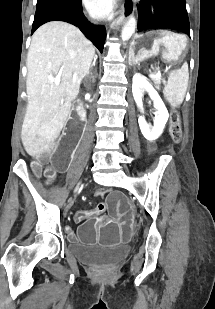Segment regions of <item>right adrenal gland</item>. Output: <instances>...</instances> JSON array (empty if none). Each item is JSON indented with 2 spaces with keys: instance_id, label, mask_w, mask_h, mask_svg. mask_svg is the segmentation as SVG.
I'll return each instance as SVG.
<instances>
[{
  "instance_id": "obj_1",
  "label": "right adrenal gland",
  "mask_w": 215,
  "mask_h": 309,
  "mask_svg": "<svg viewBox=\"0 0 215 309\" xmlns=\"http://www.w3.org/2000/svg\"><path fill=\"white\" fill-rule=\"evenodd\" d=\"M96 58H98L97 54H94V60L90 66V70L92 68V66H95V62H96ZM90 70H88V72H86V76H88V74H90Z\"/></svg>"
}]
</instances>
